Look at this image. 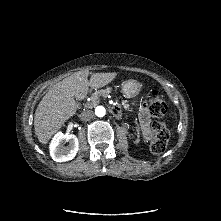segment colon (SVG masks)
I'll list each match as a JSON object with an SVG mask.
<instances>
[{
  "instance_id": "5ec220e1",
  "label": "colon",
  "mask_w": 221,
  "mask_h": 221,
  "mask_svg": "<svg viewBox=\"0 0 221 221\" xmlns=\"http://www.w3.org/2000/svg\"><path fill=\"white\" fill-rule=\"evenodd\" d=\"M146 104L149 113L154 118L163 117L167 112V104L157 90H152L149 93ZM151 127L154 132V138L150 143V151L152 154L158 155L163 153L166 149L170 138V132L166 126L158 120H155Z\"/></svg>"
}]
</instances>
